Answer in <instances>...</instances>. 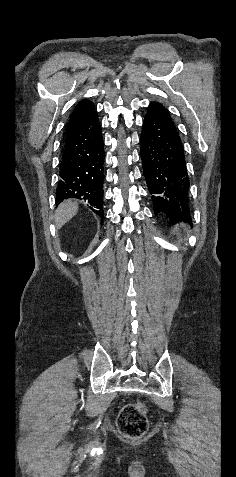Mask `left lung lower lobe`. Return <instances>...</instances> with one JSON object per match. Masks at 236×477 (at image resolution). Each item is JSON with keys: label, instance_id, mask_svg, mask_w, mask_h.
I'll list each match as a JSON object with an SVG mask.
<instances>
[{"label": "left lung lower lobe", "instance_id": "1", "mask_svg": "<svg viewBox=\"0 0 236 477\" xmlns=\"http://www.w3.org/2000/svg\"><path fill=\"white\" fill-rule=\"evenodd\" d=\"M141 158L155 213H165L172 224L190 222L184 149L177 128L161 103L152 102L143 121Z\"/></svg>", "mask_w": 236, "mask_h": 477}]
</instances>
